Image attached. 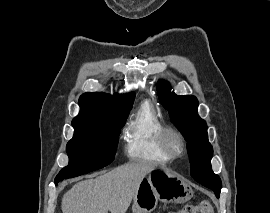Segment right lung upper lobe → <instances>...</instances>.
Segmentation results:
<instances>
[{
  "label": "right lung upper lobe",
  "mask_w": 270,
  "mask_h": 213,
  "mask_svg": "<svg viewBox=\"0 0 270 213\" xmlns=\"http://www.w3.org/2000/svg\"><path fill=\"white\" fill-rule=\"evenodd\" d=\"M134 93L113 96L98 92L84 93L79 99L80 113L73 121L108 120L130 111Z\"/></svg>",
  "instance_id": "1"
}]
</instances>
